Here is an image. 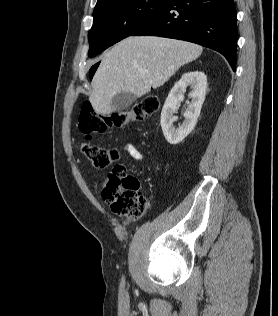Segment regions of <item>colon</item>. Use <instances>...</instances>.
I'll list each match as a JSON object with an SVG mask.
<instances>
[{"mask_svg": "<svg viewBox=\"0 0 278 316\" xmlns=\"http://www.w3.org/2000/svg\"><path fill=\"white\" fill-rule=\"evenodd\" d=\"M159 100L156 96L148 95L133 108L114 113L109 116L95 112L89 102H84L78 117L79 130L91 139L96 134H103L112 128L125 126L132 121L143 120L157 112ZM82 151L91 163L100 169L112 165L119 157L114 148H106L86 142ZM138 179L129 174L122 165L115 166L107 175L102 186V198L118 215L129 220L139 219L146 211L147 199L140 193Z\"/></svg>", "mask_w": 278, "mask_h": 316, "instance_id": "5ec220e1", "label": "colon"}]
</instances>
